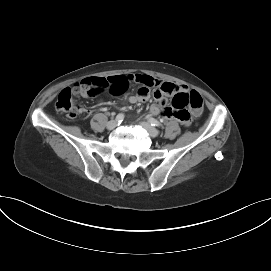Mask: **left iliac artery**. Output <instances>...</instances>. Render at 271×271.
<instances>
[{"mask_svg":"<svg viewBox=\"0 0 271 271\" xmlns=\"http://www.w3.org/2000/svg\"><path fill=\"white\" fill-rule=\"evenodd\" d=\"M147 119L152 126L162 127V124L155 118L148 116Z\"/></svg>","mask_w":271,"mask_h":271,"instance_id":"44dca946","label":"left iliac artery"}]
</instances>
